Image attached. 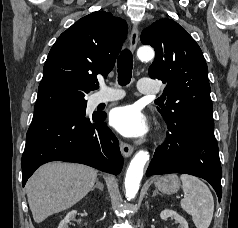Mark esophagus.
Wrapping results in <instances>:
<instances>
[{"label": "esophagus", "mask_w": 238, "mask_h": 228, "mask_svg": "<svg viewBox=\"0 0 238 228\" xmlns=\"http://www.w3.org/2000/svg\"><path fill=\"white\" fill-rule=\"evenodd\" d=\"M138 35H139L138 26L137 24H134L129 38V46L132 52L136 49L138 43ZM120 149L125 157L131 156L134 150V148L131 145L122 141L120 142Z\"/></svg>", "instance_id": "34e87169"}]
</instances>
